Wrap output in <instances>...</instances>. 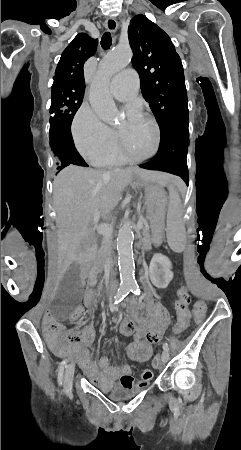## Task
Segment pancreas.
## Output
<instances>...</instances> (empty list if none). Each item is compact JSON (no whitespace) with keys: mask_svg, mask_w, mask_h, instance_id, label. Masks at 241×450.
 Listing matches in <instances>:
<instances>
[{"mask_svg":"<svg viewBox=\"0 0 241 450\" xmlns=\"http://www.w3.org/2000/svg\"><path fill=\"white\" fill-rule=\"evenodd\" d=\"M148 227L144 226L142 227V231L143 232V237H142V242L144 244H146L147 246V250H152V245H153V237L149 235L148 232ZM112 246H113V242H112V238H103L102 242H101V248L100 250H98V254H97V260H98V264H100V268H102V270H104L106 264H109V262H111V254H112ZM98 272H101V270H92V272H90V286H93V284H96L97 280H96V274H98Z\"/></svg>","mask_w":241,"mask_h":450,"instance_id":"pancreas-1","label":"pancreas"}]
</instances>
